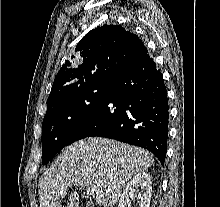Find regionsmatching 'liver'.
Returning a JSON list of instances; mask_svg holds the SVG:
<instances>
[{"mask_svg":"<svg viewBox=\"0 0 220 207\" xmlns=\"http://www.w3.org/2000/svg\"><path fill=\"white\" fill-rule=\"evenodd\" d=\"M152 155L135 146L106 138H86L68 146L47 169L38 185L40 207H62L68 187L94 188L99 206L113 207L125 184L153 164ZM72 192L66 207H78Z\"/></svg>","mask_w":220,"mask_h":207,"instance_id":"1","label":"liver"}]
</instances>
